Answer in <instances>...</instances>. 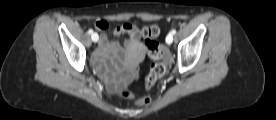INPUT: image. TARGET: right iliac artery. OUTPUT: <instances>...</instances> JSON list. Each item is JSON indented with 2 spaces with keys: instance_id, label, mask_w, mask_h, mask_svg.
<instances>
[{
  "instance_id": "obj_1",
  "label": "right iliac artery",
  "mask_w": 276,
  "mask_h": 120,
  "mask_svg": "<svg viewBox=\"0 0 276 120\" xmlns=\"http://www.w3.org/2000/svg\"><path fill=\"white\" fill-rule=\"evenodd\" d=\"M88 33H89V34H93V30H92V29H89V30H88Z\"/></svg>"
}]
</instances>
